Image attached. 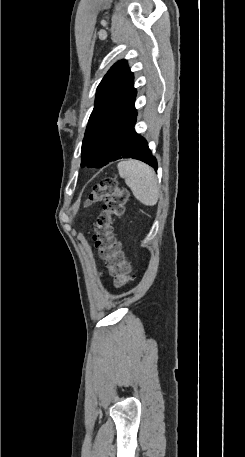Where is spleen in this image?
Here are the masks:
<instances>
[{
  "instance_id": "spleen-1",
  "label": "spleen",
  "mask_w": 245,
  "mask_h": 457,
  "mask_svg": "<svg viewBox=\"0 0 245 457\" xmlns=\"http://www.w3.org/2000/svg\"><path fill=\"white\" fill-rule=\"evenodd\" d=\"M118 172L125 178L126 184L130 186L134 196L148 206L158 202L159 186L155 170L149 164L127 158L118 162Z\"/></svg>"
}]
</instances>
